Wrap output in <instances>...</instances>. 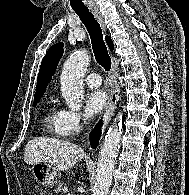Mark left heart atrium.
<instances>
[{"instance_id":"39dd6f15","label":"left heart atrium","mask_w":189,"mask_h":195,"mask_svg":"<svg viewBox=\"0 0 189 195\" xmlns=\"http://www.w3.org/2000/svg\"><path fill=\"white\" fill-rule=\"evenodd\" d=\"M108 95L103 89L91 90L85 98V109L89 116L98 114L106 105Z\"/></svg>"}]
</instances>
